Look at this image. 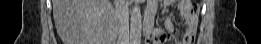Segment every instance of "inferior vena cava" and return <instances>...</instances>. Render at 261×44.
<instances>
[{"mask_svg": "<svg viewBox=\"0 0 261 44\" xmlns=\"http://www.w3.org/2000/svg\"><path fill=\"white\" fill-rule=\"evenodd\" d=\"M114 17L115 20L117 21L119 38L128 41L129 40L128 11L124 5V0H122V4L120 6L116 7Z\"/></svg>", "mask_w": 261, "mask_h": 44, "instance_id": "obj_1", "label": "inferior vena cava"}]
</instances>
